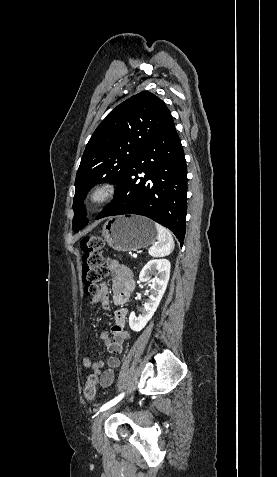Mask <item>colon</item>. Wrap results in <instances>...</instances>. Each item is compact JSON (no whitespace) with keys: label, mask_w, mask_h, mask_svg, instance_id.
<instances>
[{"label":"colon","mask_w":277,"mask_h":477,"mask_svg":"<svg viewBox=\"0 0 277 477\" xmlns=\"http://www.w3.org/2000/svg\"><path fill=\"white\" fill-rule=\"evenodd\" d=\"M103 240L96 235H89L80 241L82 251V282L84 291L91 302L99 298L102 290V281L107 274L104 267L102 250ZM85 398L92 401L96 396V377L90 376L84 389Z\"/></svg>","instance_id":"1"}]
</instances>
